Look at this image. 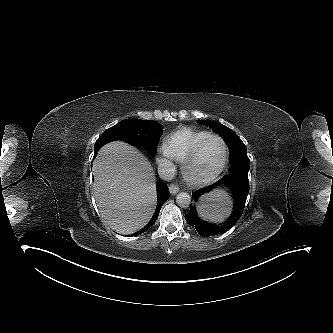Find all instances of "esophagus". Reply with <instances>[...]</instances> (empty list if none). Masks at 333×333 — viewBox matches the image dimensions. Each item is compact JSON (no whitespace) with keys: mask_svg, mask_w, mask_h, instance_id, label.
Segmentation results:
<instances>
[{"mask_svg":"<svg viewBox=\"0 0 333 333\" xmlns=\"http://www.w3.org/2000/svg\"><path fill=\"white\" fill-rule=\"evenodd\" d=\"M169 190H170V193H171L172 195H175V194H177V193L179 192V186L176 185V184H171V185L169 186Z\"/></svg>","mask_w":333,"mask_h":333,"instance_id":"obj_1","label":"esophagus"}]
</instances>
